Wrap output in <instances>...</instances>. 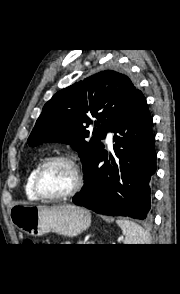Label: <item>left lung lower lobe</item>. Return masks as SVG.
<instances>
[{
  "mask_svg": "<svg viewBox=\"0 0 180 294\" xmlns=\"http://www.w3.org/2000/svg\"><path fill=\"white\" fill-rule=\"evenodd\" d=\"M110 131L116 133L113 152L108 155L101 146L73 202L104 215L146 219L151 207L148 183L156 171V153L152 117L141 91ZM101 161L105 164L100 165Z\"/></svg>",
  "mask_w": 180,
  "mask_h": 294,
  "instance_id": "0a47b994",
  "label": "left lung lower lobe"
}]
</instances>
